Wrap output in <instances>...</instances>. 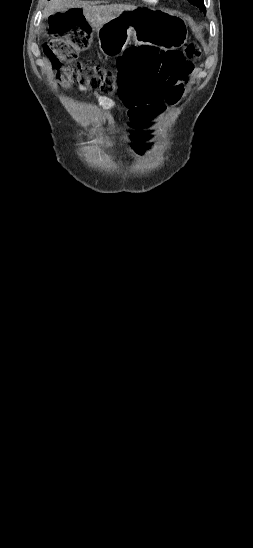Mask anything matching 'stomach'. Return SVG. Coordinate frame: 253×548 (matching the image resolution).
Wrapping results in <instances>:
<instances>
[{
	"instance_id": "obj_1",
	"label": "stomach",
	"mask_w": 253,
	"mask_h": 548,
	"mask_svg": "<svg viewBox=\"0 0 253 548\" xmlns=\"http://www.w3.org/2000/svg\"><path fill=\"white\" fill-rule=\"evenodd\" d=\"M181 17L154 9L125 11L97 29L99 48L105 56L120 55L133 40L136 44L180 46L186 40Z\"/></svg>"
}]
</instances>
